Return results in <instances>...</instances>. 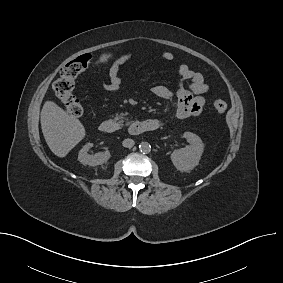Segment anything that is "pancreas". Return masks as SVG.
<instances>
[{
    "instance_id": "obj_1",
    "label": "pancreas",
    "mask_w": 283,
    "mask_h": 283,
    "mask_svg": "<svg viewBox=\"0 0 283 283\" xmlns=\"http://www.w3.org/2000/svg\"><path fill=\"white\" fill-rule=\"evenodd\" d=\"M115 119L118 120L121 125H123L124 120L122 116H117ZM126 124L128 125L129 123Z\"/></svg>"
}]
</instances>
